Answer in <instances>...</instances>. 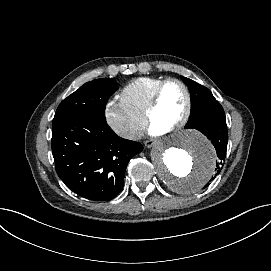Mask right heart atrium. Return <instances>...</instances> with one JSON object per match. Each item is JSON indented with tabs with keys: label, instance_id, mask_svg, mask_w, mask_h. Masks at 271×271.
<instances>
[{
	"label": "right heart atrium",
	"instance_id": "obj_1",
	"mask_svg": "<svg viewBox=\"0 0 271 271\" xmlns=\"http://www.w3.org/2000/svg\"><path fill=\"white\" fill-rule=\"evenodd\" d=\"M103 116L107 125L128 141L136 140L145 129V116L133 112L123 98L111 97L103 106Z\"/></svg>",
	"mask_w": 271,
	"mask_h": 271
}]
</instances>
